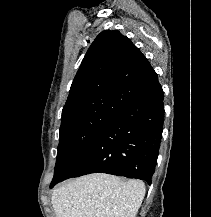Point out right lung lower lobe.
Returning a JSON list of instances; mask_svg holds the SVG:
<instances>
[{"label":"right lung lower lobe","instance_id":"1","mask_svg":"<svg viewBox=\"0 0 211 217\" xmlns=\"http://www.w3.org/2000/svg\"><path fill=\"white\" fill-rule=\"evenodd\" d=\"M164 121L163 90L159 82L125 107L94 143L50 187L89 173L138 178L151 184Z\"/></svg>","mask_w":211,"mask_h":217}]
</instances>
